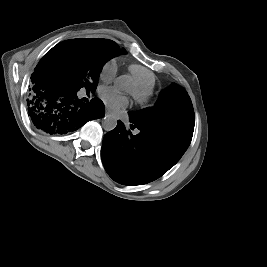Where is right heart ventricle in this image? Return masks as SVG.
<instances>
[{
  "label": "right heart ventricle",
  "instance_id": "obj_1",
  "mask_svg": "<svg viewBox=\"0 0 267 267\" xmlns=\"http://www.w3.org/2000/svg\"><path fill=\"white\" fill-rule=\"evenodd\" d=\"M131 72L135 77V85L137 86V88L149 92V90L153 87L155 81L153 73L140 69L138 67H132Z\"/></svg>",
  "mask_w": 267,
  "mask_h": 267
}]
</instances>
